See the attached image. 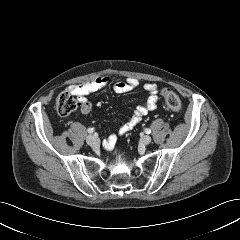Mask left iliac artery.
Listing matches in <instances>:
<instances>
[{
    "instance_id": "obj_1",
    "label": "left iliac artery",
    "mask_w": 240,
    "mask_h": 240,
    "mask_svg": "<svg viewBox=\"0 0 240 240\" xmlns=\"http://www.w3.org/2000/svg\"><path fill=\"white\" fill-rule=\"evenodd\" d=\"M144 131H145L146 134H150L151 133V130L149 128H146Z\"/></svg>"
}]
</instances>
